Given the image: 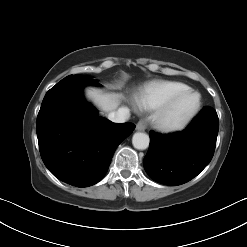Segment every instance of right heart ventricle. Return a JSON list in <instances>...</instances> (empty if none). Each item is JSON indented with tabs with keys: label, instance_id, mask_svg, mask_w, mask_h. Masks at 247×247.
<instances>
[{
	"label": "right heart ventricle",
	"instance_id": "1",
	"mask_svg": "<svg viewBox=\"0 0 247 247\" xmlns=\"http://www.w3.org/2000/svg\"><path fill=\"white\" fill-rule=\"evenodd\" d=\"M186 89H189V86L181 82L155 80L143 87L137 100L141 108L155 110L172 96Z\"/></svg>",
	"mask_w": 247,
	"mask_h": 247
}]
</instances>
